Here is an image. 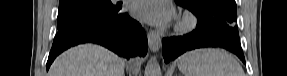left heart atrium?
I'll return each instance as SVG.
<instances>
[{"label":"left heart atrium","instance_id":"obj_1","mask_svg":"<svg viewBox=\"0 0 287 76\" xmlns=\"http://www.w3.org/2000/svg\"><path fill=\"white\" fill-rule=\"evenodd\" d=\"M131 12L134 17L159 26L167 25L175 18V11L166 0H136Z\"/></svg>","mask_w":287,"mask_h":76}]
</instances>
